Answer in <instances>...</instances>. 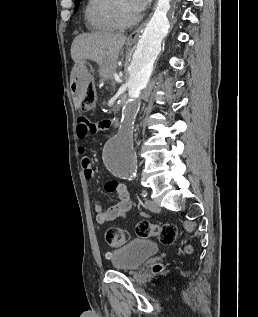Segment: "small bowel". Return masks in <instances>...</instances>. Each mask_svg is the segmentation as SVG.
<instances>
[{
  "label": "small bowel",
  "mask_w": 258,
  "mask_h": 317,
  "mask_svg": "<svg viewBox=\"0 0 258 317\" xmlns=\"http://www.w3.org/2000/svg\"><path fill=\"white\" fill-rule=\"evenodd\" d=\"M112 121H103L101 123H92L85 118H79L76 124V134L79 139H85L88 134L97 133L99 131L110 128ZM81 166L86 179L94 177L91 160L85 155V148L80 147ZM105 191L108 193H116L118 202L108 209H104L100 202H96L94 209L97 213L96 220L99 224H106L115 219L123 218L131 209V198L125 185L117 181H109L105 184Z\"/></svg>",
  "instance_id": "obj_1"
}]
</instances>
